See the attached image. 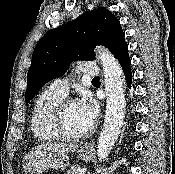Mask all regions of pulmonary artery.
<instances>
[{"label":"pulmonary artery","instance_id":"obj_1","mask_svg":"<svg viewBox=\"0 0 175 174\" xmlns=\"http://www.w3.org/2000/svg\"><path fill=\"white\" fill-rule=\"evenodd\" d=\"M81 72L84 76L95 77L99 75V68L94 63L86 62L82 65ZM49 89L54 93L65 97L69 91V80L65 78L54 80L50 84Z\"/></svg>","mask_w":175,"mask_h":174}]
</instances>
